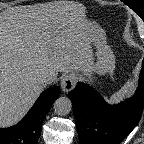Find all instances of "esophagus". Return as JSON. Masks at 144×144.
<instances>
[{
    "label": "esophagus",
    "mask_w": 144,
    "mask_h": 144,
    "mask_svg": "<svg viewBox=\"0 0 144 144\" xmlns=\"http://www.w3.org/2000/svg\"><path fill=\"white\" fill-rule=\"evenodd\" d=\"M77 83V76L74 73L66 74L61 80V89L63 92L73 90Z\"/></svg>",
    "instance_id": "obj_1"
}]
</instances>
